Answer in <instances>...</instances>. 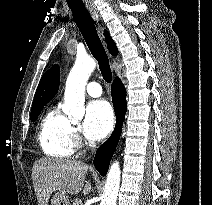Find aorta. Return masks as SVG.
Segmentation results:
<instances>
[{"mask_svg":"<svg viewBox=\"0 0 212 205\" xmlns=\"http://www.w3.org/2000/svg\"><path fill=\"white\" fill-rule=\"evenodd\" d=\"M95 67L96 61L89 56H78L76 58L66 81L65 103L62 107L63 111L69 116H83L85 87ZM120 174L119 162L115 161L109 168L100 205H116L120 187Z\"/></svg>","mask_w":212,"mask_h":205,"instance_id":"aorta-1","label":"aorta"}]
</instances>
